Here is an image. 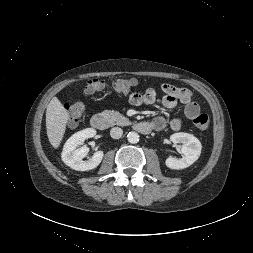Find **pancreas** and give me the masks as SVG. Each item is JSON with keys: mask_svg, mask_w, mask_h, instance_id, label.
Returning a JSON list of instances; mask_svg holds the SVG:
<instances>
[{"mask_svg": "<svg viewBox=\"0 0 253 253\" xmlns=\"http://www.w3.org/2000/svg\"><path fill=\"white\" fill-rule=\"evenodd\" d=\"M102 115L108 120L110 125H126L129 124V119L117 111L104 110Z\"/></svg>", "mask_w": 253, "mask_h": 253, "instance_id": "cf45deb5", "label": "pancreas"}]
</instances>
